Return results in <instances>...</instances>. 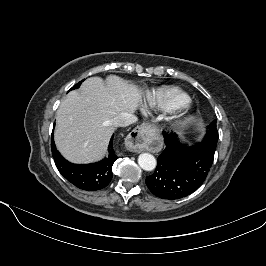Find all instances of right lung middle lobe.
I'll return each mask as SVG.
<instances>
[{"instance_id":"1","label":"right lung middle lobe","mask_w":266,"mask_h":266,"mask_svg":"<svg viewBox=\"0 0 266 266\" xmlns=\"http://www.w3.org/2000/svg\"><path fill=\"white\" fill-rule=\"evenodd\" d=\"M82 82H83V80L81 82H79L78 84L74 85L70 90L78 88Z\"/></svg>"}]
</instances>
